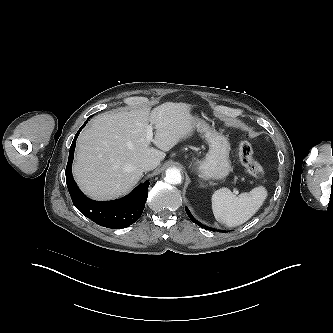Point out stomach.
Here are the masks:
<instances>
[{
	"label": "stomach",
	"mask_w": 333,
	"mask_h": 333,
	"mask_svg": "<svg viewBox=\"0 0 333 333\" xmlns=\"http://www.w3.org/2000/svg\"><path fill=\"white\" fill-rule=\"evenodd\" d=\"M193 124L209 145L206 157L194 163V170L204 180L224 179L231 171L229 160L231 148L228 138L196 117H193Z\"/></svg>",
	"instance_id": "stomach-1"
}]
</instances>
